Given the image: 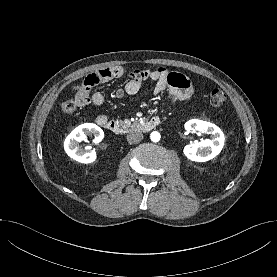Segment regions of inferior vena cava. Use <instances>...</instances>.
Segmentation results:
<instances>
[{"instance_id": "1", "label": "inferior vena cava", "mask_w": 277, "mask_h": 277, "mask_svg": "<svg viewBox=\"0 0 277 277\" xmlns=\"http://www.w3.org/2000/svg\"><path fill=\"white\" fill-rule=\"evenodd\" d=\"M143 134L140 132H133L127 135V141L131 144H136L142 141Z\"/></svg>"}]
</instances>
